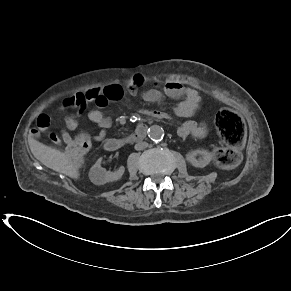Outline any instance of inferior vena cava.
<instances>
[{"label":"inferior vena cava","mask_w":291,"mask_h":291,"mask_svg":"<svg viewBox=\"0 0 291 291\" xmlns=\"http://www.w3.org/2000/svg\"><path fill=\"white\" fill-rule=\"evenodd\" d=\"M147 146H148L147 142H138L135 144L134 148H135V150L139 151V150L145 149Z\"/></svg>","instance_id":"inferior-vena-cava-1"}]
</instances>
